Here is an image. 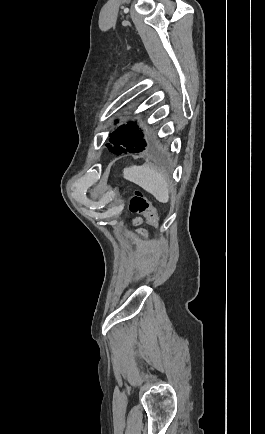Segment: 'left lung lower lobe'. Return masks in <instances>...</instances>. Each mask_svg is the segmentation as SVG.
<instances>
[{
    "label": "left lung lower lobe",
    "instance_id": "1",
    "mask_svg": "<svg viewBox=\"0 0 265 434\" xmlns=\"http://www.w3.org/2000/svg\"><path fill=\"white\" fill-rule=\"evenodd\" d=\"M143 134L139 133L132 139H130L126 144L117 149L109 148V151H111L114 154L120 155L122 153H138L142 152L144 150H162L164 148V144L162 142L160 143H154L150 144L148 148L145 140L142 138Z\"/></svg>",
    "mask_w": 265,
    "mask_h": 434
}]
</instances>
